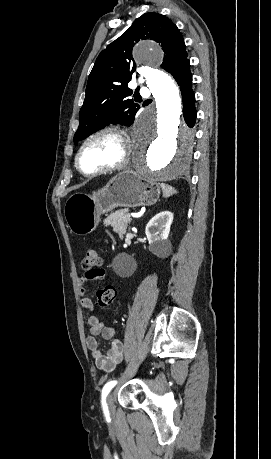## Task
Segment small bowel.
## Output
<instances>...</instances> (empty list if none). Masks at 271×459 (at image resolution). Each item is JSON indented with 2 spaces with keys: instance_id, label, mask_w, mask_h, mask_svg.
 <instances>
[{
  "instance_id": "1",
  "label": "small bowel",
  "mask_w": 271,
  "mask_h": 459,
  "mask_svg": "<svg viewBox=\"0 0 271 459\" xmlns=\"http://www.w3.org/2000/svg\"><path fill=\"white\" fill-rule=\"evenodd\" d=\"M106 278L104 269L99 268L94 271L84 272L78 279L80 293V303L87 310L94 309V303L87 295L86 286L89 282L103 281ZM89 335L86 338V345L91 353L96 366L105 371L112 372L123 358V345L116 337L113 327L105 326L98 317L88 318ZM101 335L105 340L110 341L109 348L103 352L96 336Z\"/></svg>"
}]
</instances>
